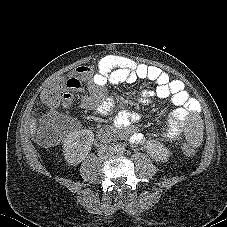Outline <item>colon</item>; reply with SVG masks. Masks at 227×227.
Wrapping results in <instances>:
<instances>
[{"label": "colon", "mask_w": 227, "mask_h": 227, "mask_svg": "<svg viewBox=\"0 0 227 227\" xmlns=\"http://www.w3.org/2000/svg\"><path fill=\"white\" fill-rule=\"evenodd\" d=\"M64 90V79L52 81L42 89L40 94L41 102L49 108L58 107L63 101ZM69 128V122L65 119H52L40 129L38 141L41 145L46 147L57 145L65 138ZM181 151L188 157H193L196 154L194 147L188 142L182 144Z\"/></svg>", "instance_id": "1"}]
</instances>
